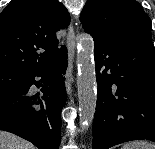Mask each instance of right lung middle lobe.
I'll return each instance as SVG.
<instances>
[{
    "instance_id": "1",
    "label": "right lung middle lobe",
    "mask_w": 155,
    "mask_h": 149,
    "mask_svg": "<svg viewBox=\"0 0 155 149\" xmlns=\"http://www.w3.org/2000/svg\"><path fill=\"white\" fill-rule=\"evenodd\" d=\"M28 80V75L12 69H0V93L20 92Z\"/></svg>"
}]
</instances>
